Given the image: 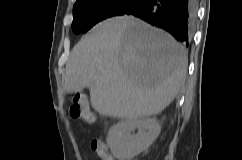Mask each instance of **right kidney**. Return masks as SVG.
<instances>
[{"label":"right kidney","mask_w":242,"mask_h":160,"mask_svg":"<svg viewBox=\"0 0 242 160\" xmlns=\"http://www.w3.org/2000/svg\"><path fill=\"white\" fill-rule=\"evenodd\" d=\"M136 129L138 132L134 134ZM160 131L161 125L156 118L126 119L110 128L107 145L117 159L131 160L148 149Z\"/></svg>","instance_id":"1"}]
</instances>
